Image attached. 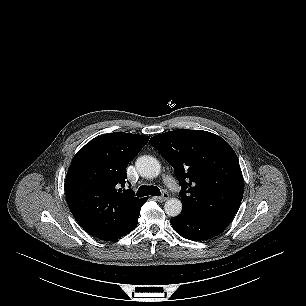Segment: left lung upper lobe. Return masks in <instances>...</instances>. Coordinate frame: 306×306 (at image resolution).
Segmentation results:
<instances>
[{
  "label": "left lung upper lobe",
  "mask_w": 306,
  "mask_h": 306,
  "mask_svg": "<svg viewBox=\"0 0 306 306\" xmlns=\"http://www.w3.org/2000/svg\"><path fill=\"white\" fill-rule=\"evenodd\" d=\"M150 142L174 168L184 210L233 219L243 197V177L238 158L224 139L203 130L178 129Z\"/></svg>",
  "instance_id": "left-lung-upper-lobe-1"
}]
</instances>
